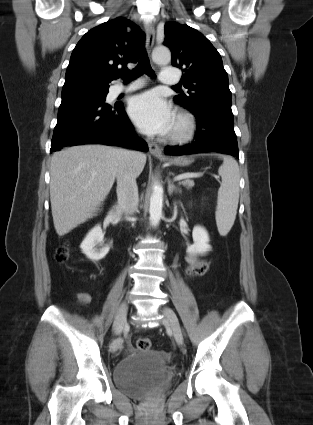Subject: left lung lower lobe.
Wrapping results in <instances>:
<instances>
[{"label": "left lung lower lobe", "instance_id": "1", "mask_svg": "<svg viewBox=\"0 0 313 425\" xmlns=\"http://www.w3.org/2000/svg\"><path fill=\"white\" fill-rule=\"evenodd\" d=\"M190 111L197 119L195 141L182 147L167 146L165 148L167 155L217 152L239 158L233 113L230 107L207 105Z\"/></svg>", "mask_w": 313, "mask_h": 425}]
</instances>
